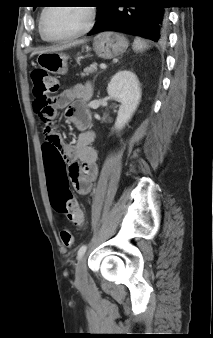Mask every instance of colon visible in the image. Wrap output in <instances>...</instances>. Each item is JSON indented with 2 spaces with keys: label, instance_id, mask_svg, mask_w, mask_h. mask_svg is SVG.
<instances>
[{
  "label": "colon",
  "instance_id": "1",
  "mask_svg": "<svg viewBox=\"0 0 213 338\" xmlns=\"http://www.w3.org/2000/svg\"><path fill=\"white\" fill-rule=\"evenodd\" d=\"M33 84L32 93L34 96V109L39 119L44 123L43 135L45 138L44 146L49 148L62 143L58 134L50 132V122L54 114L52 96L58 91L57 80L50 76L43 69H36L31 73ZM50 200L54 210L58 213L66 214L70 221L78 226L84 224V214L74 195L65 187L64 184H57L50 189ZM60 240L63 245L70 247L73 245L74 237L70 230L60 231Z\"/></svg>",
  "mask_w": 213,
  "mask_h": 338
}]
</instances>
